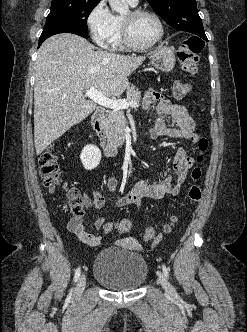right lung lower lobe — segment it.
I'll return each mask as SVG.
<instances>
[{"label":"right lung lower lobe","instance_id":"1","mask_svg":"<svg viewBox=\"0 0 247 332\" xmlns=\"http://www.w3.org/2000/svg\"><path fill=\"white\" fill-rule=\"evenodd\" d=\"M59 33H73L84 38H88V31L79 29L74 25L67 24V23H52L46 24L44 26L43 32L39 39L38 47L42 44V42L47 39L48 37L59 34Z\"/></svg>","mask_w":247,"mask_h":332}]
</instances>
